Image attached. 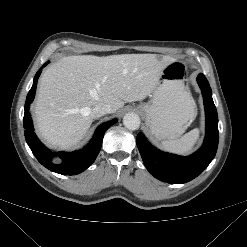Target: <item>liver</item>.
<instances>
[{
  "label": "liver",
  "instance_id": "1",
  "mask_svg": "<svg viewBox=\"0 0 247 247\" xmlns=\"http://www.w3.org/2000/svg\"><path fill=\"white\" fill-rule=\"evenodd\" d=\"M176 60L156 54L67 56L43 73L34 112L40 137L52 147L69 149L87 133L91 108L145 99L164 68Z\"/></svg>",
  "mask_w": 247,
  "mask_h": 247
}]
</instances>
